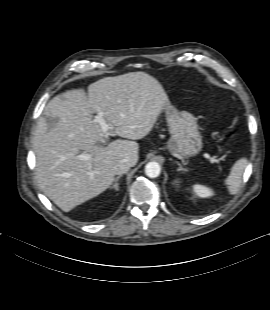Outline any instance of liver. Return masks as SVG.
<instances>
[{
  "label": "liver",
  "mask_w": 270,
  "mask_h": 310,
  "mask_svg": "<svg viewBox=\"0 0 270 310\" xmlns=\"http://www.w3.org/2000/svg\"><path fill=\"white\" fill-rule=\"evenodd\" d=\"M169 105L161 84L145 72L102 78L87 95L73 89L56 96L45 110L57 121L40 119L33 138L40 189L64 212L98 196L114 182L118 161L136 165L134 140L148 135ZM99 112L109 125L106 133L93 118ZM109 135L130 140L107 143ZM80 152L90 158L79 160Z\"/></svg>",
  "instance_id": "obj_1"
}]
</instances>
